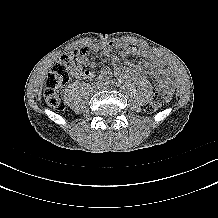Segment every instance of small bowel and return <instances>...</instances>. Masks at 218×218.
Returning <instances> with one entry per match:
<instances>
[{
    "mask_svg": "<svg viewBox=\"0 0 218 218\" xmlns=\"http://www.w3.org/2000/svg\"><path fill=\"white\" fill-rule=\"evenodd\" d=\"M114 44L105 42L100 45H92L82 48V54L76 60L71 68V75L78 79H90L94 76L93 71L85 69L90 64L89 54L93 52H100L107 56L113 62L114 70L104 67L101 70L103 76L113 74L119 82L124 81L127 75L134 73H146L154 78L159 88L165 94V101H170L174 85L170 77L169 71L160 60L157 54L140 46H129L121 52L122 56L134 55L145 58L141 63L126 62L123 65L119 64L118 58L112 54Z\"/></svg>",
    "mask_w": 218,
    "mask_h": 218,
    "instance_id": "c3829d8e",
    "label": "small bowel"
}]
</instances>
